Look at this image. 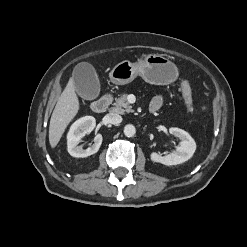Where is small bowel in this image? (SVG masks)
Listing matches in <instances>:
<instances>
[{
	"label": "small bowel",
	"instance_id": "obj_1",
	"mask_svg": "<svg viewBox=\"0 0 247 247\" xmlns=\"http://www.w3.org/2000/svg\"><path fill=\"white\" fill-rule=\"evenodd\" d=\"M163 102H164V98L162 95L155 96L150 104L151 111L155 112L159 110L162 107Z\"/></svg>",
	"mask_w": 247,
	"mask_h": 247
}]
</instances>
